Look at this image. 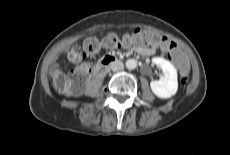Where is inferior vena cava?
<instances>
[{"label":"inferior vena cava","instance_id":"inferior-vena-cava-1","mask_svg":"<svg viewBox=\"0 0 230 155\" xmlns=\"http://www.w3.org/2000/svg\"><path fill=\"white\" fill-rule=\"evenodd\" d=\"M109 68L112 71H119L123 69V63L121 61L116 60L110 64Z\"/></svg>","mask_w":230,"mask_h":155}]
</instances>
